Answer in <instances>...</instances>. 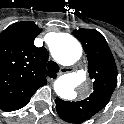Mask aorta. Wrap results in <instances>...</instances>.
<instances>
[{
	"label": "aorta",
	"instance_id": "1",
	"mask_svg": "<svg viewBox=\"0 0 124 124\" xmlns=\"http://www.w3.org/2000/svg\"><path fill=\"white\" fill-rule=\"evenodd\" d=\"M51 53L56 61L62 65H73L82 56V47L77 39L67 33L56 35ZM86 79L84 71L68 73L58 77L54 82V91L62 99L72 100L77 96V87Z\"/></svg>",
	"mask_w": 124,
	"mask_h": 124
}]
</instances>
